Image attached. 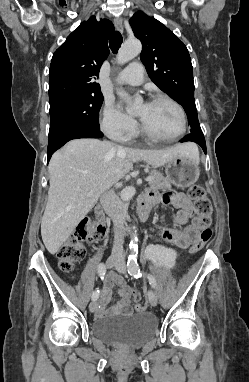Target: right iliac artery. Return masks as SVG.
Listing matches in <instances>:
<instances>
[{
	"mask_svg": "<svg viewBox=\"0 0 249 382\" xmlns=\"http://www.w3.org/2000/svg\"><path fill=\"white\" fill-rule=\"evenodd\" d=\"M98 274L100 278L103 280L104 276L106 274V267L103 263L98 265ZM99 289L97 288L93 293H92V300H97L99 297Z\"/></svg>",
	"mask_w": 249,
	"mask_h": 382,
	"instance_id": "1",
	"label": "right iliac artery"
}]
</instances>
